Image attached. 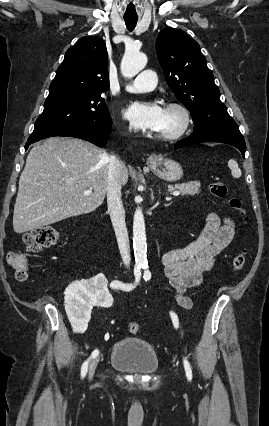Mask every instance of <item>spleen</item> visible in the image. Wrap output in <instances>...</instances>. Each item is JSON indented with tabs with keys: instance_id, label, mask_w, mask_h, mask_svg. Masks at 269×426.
<instances>
[{
	"instance_id": "1",
	"label": "spleen",
	"mask_w": 269,
	"mask_h": 426,
	"mask_svg": "<svg viewBox=\"0 0 269 426\" xmlns=\"http://www.w3.org/2000/svg\"><path fill=\"white\" fill-rule=\"evenodd\" d=\"M228 167L231 169V173H232V176L234 178H240L241 177V174H242L241 170L238 167V163L234 159H230L228 161Z\"/></svg>"
}]
</instances>
